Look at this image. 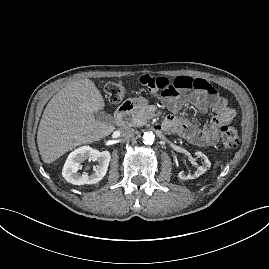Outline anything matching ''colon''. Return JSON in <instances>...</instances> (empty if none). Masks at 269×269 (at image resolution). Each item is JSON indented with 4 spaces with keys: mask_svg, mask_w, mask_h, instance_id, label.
<instances>
[{
    "mask_svg": "<svg viewBox=\"0 0 269 269\" xmlns=\"http://www.w3.org/2000/svg\"><path fill=\"white\" fill-rule=\"evenodd\" d=\"M127 86L119 82H110L105 91L108 99L112 102L120 101L127 93ZM221 143L225 148H235L239 143V135L235 128L224 125L220 129Z\"/></svg>",
    "mask_w": 269,
    "mask_h": 269,
    "instance_id": "1",
    "label": "colon"
}]
</instances>
